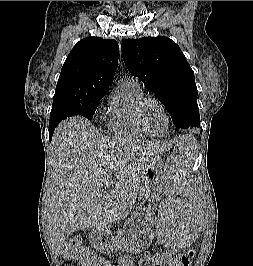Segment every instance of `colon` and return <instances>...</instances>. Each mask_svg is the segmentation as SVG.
Masks as SVG:
<instances>
[{
	"instance_id": "obj_1",
	"label": "colon",
	"mask_w": 253,
	"mask_h": 266,
	"mask_svg": "<svg viewBox=\"0 0 253 266\" xmlns=\"http://www.w3.org/2000/svg\"><path fill=\"white\" fill-rule=\"evenodd\" d=\"M64 260L76 266H106L107 263L88 248L80 238H70L63 253ZM194 252L180 254L168 252L149 258L143 266H190Z\"/></svg>"
}]
</instances>
